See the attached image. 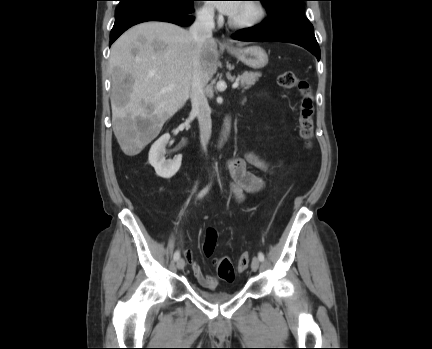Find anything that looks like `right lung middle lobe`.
Listing matches in <instances>:
<instances>
[{
    "mask_svg": "<svg viewBox=\"0 0 432 349\" xmlns=\"http://www.w3.org/2000/svg\"><path fill=\"white\" fill-rule=\"evenodd\" d=\"M119 1H120V6H123L140 0H119ZM158 1L168 2L173 5H184L191 0H158Z\"/></svg>",
    "mask_w": 432,
    "mask_h": 349,
    "instance_id": "right-lung-middle-lobe-1",
    "label": "right lung middle lobe"
}]
</instances>
